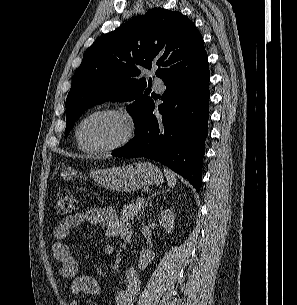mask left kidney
Instances as JSON below:
<instances>
[{"label": "left kidney", "instance_id": "obj_1", "mask_svg": "<svg viewBox=\"0 0 297 305\" xmlns=\"http://www.w3.org/2000/svg\"><path fill=\"white\" fill-rule=\"evenodd\" d=\"M174 219L173 208L167 209L161 212L159 217V224L168 232L171 233L174 229ZM154 252L151 250L142 249L139 258L138 267L140 270H144L154 259Z\"/></svg>", "mask_w": 297, "mask_h": 305}]
</instances>
